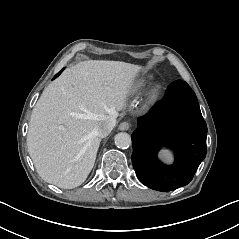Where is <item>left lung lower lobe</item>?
<instances>
[{
	"label": "left lung lower lobe",
	"mask_w": 239,
	"mask_h": 239,
	"mask_svg": "<svg viewBox=\"0 0 239 239\" xmlns=\"http://www.w3.org/2000/svg\"><path fill=\"white\" fill-rule=\"evenodd\" d=\"M207 125L194 91L182 80L173 82L165 100L147 117L138 120L131 135L132 163L139 180L158 191L188 184L206 156ZM175 150L167 166L157 159L160 146Z\"/></svg>",
	"instance_id": "0a47b994"
}]
</instances>
